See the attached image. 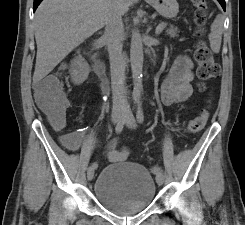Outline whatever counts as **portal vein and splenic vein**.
<instances>
[{
    "mask_svg": "<svg viewBox=\"0 0 245 225\" xmlns=\"http://www.w3.org/2000/svg\"><path fill=\"white\" fill-rule=\"evenodd\" d=\"M165 23H160L157 27H156V34H160L163 29L165 28Z\"/></svg>",
    "mask_w": 245,
    "mask_h": 225,
    "instance_id": "obj_1",
    "label": "portal vein and splenic vein"
}]
</instances>
